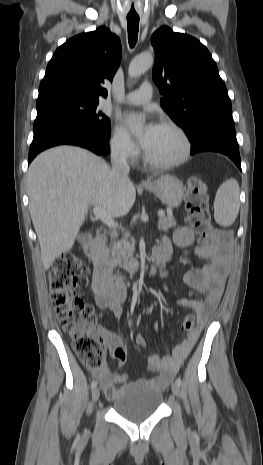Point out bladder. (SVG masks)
<instances>
[{"mask_svg": "<svg viewBox=\"0 0 263 465\" xmlns=\"http://www.w3.org/2000/svg\"><path fill=\"white\" fill-rule=\"evenodd\" d=\"M162 400L161 392L147 386H135L117 397L111 408L128 421L141 422L156 413Z\"/></svg>", "mask_w": 263, "mask_h": 465, "instance_id": "obj_1", "label": "bladder"}]
</instances>
